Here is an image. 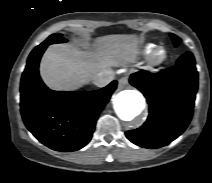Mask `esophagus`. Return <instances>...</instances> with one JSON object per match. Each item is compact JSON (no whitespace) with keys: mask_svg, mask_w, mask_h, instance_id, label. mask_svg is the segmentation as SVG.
<instances>
[{"mask_svg":"<svg viewBox=\"0 0 212 183\" xmlns=\"http://www.w3.org/2000/svg\"><path fill=\"white\" fill-rule=\"evenodd\" d=\"M128 84V78L127 77H122L119 82H118V88L119 89H124Z\"/></svg>","mask_w":212,"mask_h":183,"instance_id":"obj_1","label":"esophagus"}]
</instances>
